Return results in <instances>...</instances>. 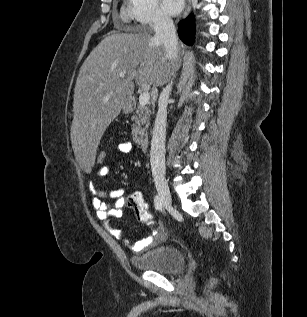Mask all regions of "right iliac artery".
Returning <instances> with one entry per match:
<instances>
[{
    "label": "right iliac artery",
    "instance_id": "82829eb1",
    "mask_svg": "<svg viewBox=\"0 0 307 317\" xmlns=\"http://www.w3.org/2000/svg\"><path fill=\"white\" fill-rule=\"evenodd\" d=\"M154 206H155L156 210L162 209V202H161V199L158 195H155V197H154Z\"/></svg>",
    "mask_w": 307,
    "mask_h": 317
}]
</instances>
